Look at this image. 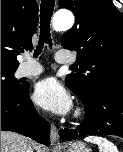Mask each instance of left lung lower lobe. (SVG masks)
<instances>
[{
    "mask_svg": "<svg viewBox=\"0 0 123 152\" xmlns=\"http://www.w3.org/2000/svg\"><path fill=\"white\" fill-rule=\"evenodd\" d=\"M81 100L85 106V120L74 130H61L62 140L72 141L97 134L123 138V86H105L87 100Z\"/></svg>",
    "mask_w": 123,
    "mask_h": 152,
    "instance_id": "left-lung-lower-lobe-1",
    "label": "left lung lower lobe"
}]
</instances>
